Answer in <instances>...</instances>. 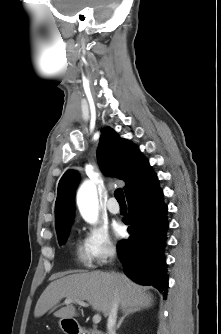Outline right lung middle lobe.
Masks as SVG:
<instances>
[{
  "label": "right lung middle lobe",
  "mask_w": 221,
  "mask_h": 334,
  "mask_svg": "<svg viewBox=\"0 0 221 334\" xmlns=\"http://www.w3.org/2000/svg\"><path fill=\"white\" fill-rule=\"evenodd\" d=\"M69 232V226L57 231L59 243H65Z\"/></svg>",
  "instance_id": "dd1d6c3e"
}]
</instances>
